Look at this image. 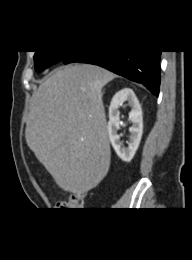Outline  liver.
<instances>
[{
	"label": "liver",
	"mask_w": 192,
	"mask_h": 260,
	"mask_svg": "<svg viewBox=\"0 0 192 260\" xmlns=\"http://www.w3.org/2000/svg\"><path fill=\"white\" fill-rule=\"evenodd\" d=\"M115 77L96 65H68L42 82L33 96L26 142L64 191L86 193L108 173L102 88Z\"/></svg>",
	"instance_id": "6515ba94"
}]
</instances>
